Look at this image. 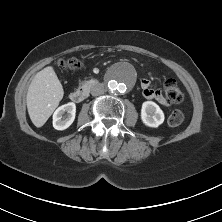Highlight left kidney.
Listing matches in <instances>:
<instances>
[{
    "instance_id": "5707ae66",
    "label": "left kidney",
    "mask_w": 222,
    "mask_h": 222,
    "mask_svg": "<svg viewBox=\"0 0 222 222\" xmlns=\"http://www.w3.org/2000/svg\"><path fill=\"white\" fill-rule=\"evenodd\" d=\"M164 113L153 101H145L142 104L141 119L149 127L156 128L164 122Z\"/></svg>"
}]
</instances>
